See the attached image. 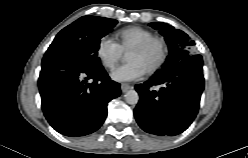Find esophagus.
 <instances>
[{"label":"esophagus","instance_id":"34e87169","mask_svg":"<svg viewBox=\"0 0 248 158\" xmlns=\"http://www.w3.org/2000/svg\"><path fill=\"white\" fill-rule=\"evenodd\" d=\"M132 87L129 84L123 83L121 84V90L122 92H127L129 89H131Z\"/></svg>","mask_w":248,"mask_h":158}]
</instances>
